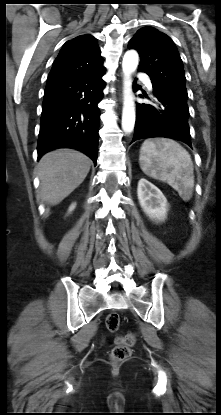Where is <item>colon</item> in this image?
<instances>
[{
    "instance_id": "colon-1",
    "label": "colon",
    "mask_w": 221,
    "mask_h": 415,
    "mask_svg": "<svg viewBox=\"0 0 221 415\" xmlns=\"http://www.w3.org/2000/svg\"><path fill=\"white\" fill-rule=\"evenodd\" d=\"M106 328L110 332H115L120 326V317L117 313H110L105 320ZM136 337L134 334H127L118 337L116 346L111 351V358L114 362H121L126 360L131 355V346L135 343Z\"/></svg>"
}]
</instances>
